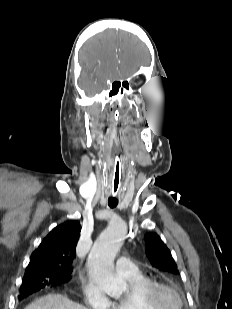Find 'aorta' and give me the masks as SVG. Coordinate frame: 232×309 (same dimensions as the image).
Segmentation results:
<instances>
[{"label": "aorta", "mask_w": 232, "mask_h": 309, "mask_svg": "<svg viewBox=\"0 0 232 309\" xmlns=\"http://www.w3.org/2000/svg\"><path fill=\"white\" fill-rule=\"evenodd\" d=\"M126 233L124 222H112L99 235L87 259L89 273L96 284L109 296L119 298L126 291L125 280L114 270V258Z\"/></svg>", "instance_id": "aorta-1"}]
</instances>
